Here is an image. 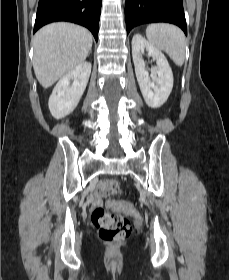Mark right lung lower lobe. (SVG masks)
Here are the masks:
<instances>
[{"label":"right lung lower lobe","instance_id":"1","mask_svg":"<svg viewBox=\"0 0 229 280\" xmlns=\"http://www.w3.org/2000/svg\"><path fill=\"white\" fill-rule=\"evenodd\" d=\"M102 0H39L34 32L56 21L73 22L88 28L98 40Z\"/></svg>","mask_w":229,"mask_h":280}]
</instances>
